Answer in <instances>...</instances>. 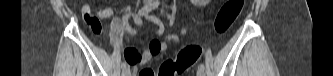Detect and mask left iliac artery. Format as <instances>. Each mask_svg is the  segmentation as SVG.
<instances>
[{
  "label": "left iliac artery",
  "mask_w": 333,
  "mask_h": 76,
  "mask_svg": "<svg viewBox=\"0 0 333 76\" xmlns=\"http://www.w3.org/2000/svg\"><path fill=\"white\" fill-rule=\"evenodd\" d=\"M167 17H168V18H171V16H170V15H167ZM199 69H203V70L205 69V66H204V64H203V63L199 65Z\"/></svg>",
  "instance_id": "1"
}]
</instances>
